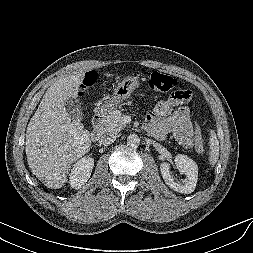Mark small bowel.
<instances>
[{
    "instance_id": "1",
    "label": "small bowel",
    "mask_w": 253,
    "mask_h": 253,
    "mask_svg": "<svg viewBox=\"0 0 253 253\" xmlns=\"http://www.w3.org/2000/svg\"><path fill=\"white\" fill-rule=\"evenodd\" d=\"M185 101L170 97L160 100L154 107L153 112L146 118V129L155 138L164 140L168 134H172L181 145L195 147L196 129L190 118L189 110L186 107L176 106Z\"/></svg>"
}]
</instances>
